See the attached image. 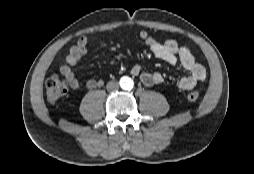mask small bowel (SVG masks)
<instances>
[{"label": "small bowel", "instance_id": "c3829d8e", "mask_svg": "<svg viewBox=\"0 0 254 174\" xmlns=\"http://www.w3.org/2000/svg\"><path fill=\"white\" fill-rule=\"evenodd\" d=\"M139 38L148 46L150 51L159 59L169 65H180L186 72L187 76L182 77L177 81V87L181 90H190L197 84L204 82L207 78V71L203 65L198 63L190 48L186 45H178L175 40H167L160 42L150 36L145 30L140 31ZM89 40L86 36L78 39L77 43L70 48L64 63L60 68L61 74L67 79L72 89L81 87L78 77L73 71L79 61L85 56ZM131 74L138 76L144 86L151 87L161 84L165 78L160 72L142 71L139 65H134L131 68ZM103 85L100 79H89L86 83L88 88H99Z\"/></svg>", "mask_w": 254, "mask_h": 174}]
</instances>
